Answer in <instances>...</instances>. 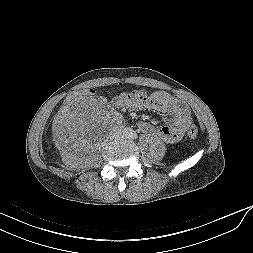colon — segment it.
<instances>
[{"mask_svg": "<svg viewBox=\"0 0 253 253\" xmlns=\"http://www.w3.org/2000/svg\"><path fill=\"white\" fill-rule=\"evenodd\" d=\"M97 95L98 90L96 88H90L83 91L74 92L73 94L68 95L65 98V103L72 104L73 101H75L76 99H83L88 96H97ZM187 134L190 138H195L198 135L197 127L195 125H191L187 130Z\"/></svg>", "mask_w": 253, "mask_h": 253, "instance_id": "colon-1", "label": "colon"}]
</instances>
